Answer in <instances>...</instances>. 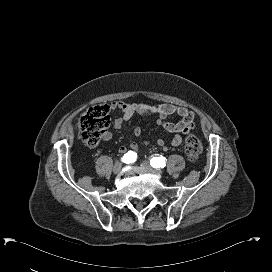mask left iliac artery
<instances>
[{"label":"left iliac artery","instance_id":"1","mask_svg":"<svg viewBox=\"0 0 272 272\" xmlns=\"http://www.w3.org/2000/svg\"><path fill=\"white\" fill-rule=\"evenodd\" d=\"M150 165L154 168H163L166 166V161H165V157L163 156H156V157H153L151 160H150Z\"/></svg>","mask_w":272,"mask_h":272}]
</instances>
